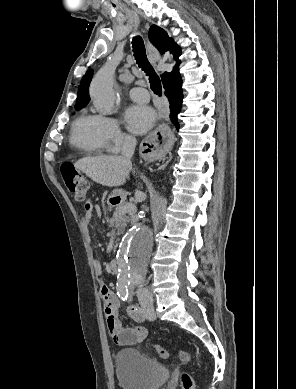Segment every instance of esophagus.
<instances>
[{
	"label": "esophagus",
	"mask_w": 296,
	"mask_h": 389,
	"mask_svg": "<svg viewBox=\"0 0 296 389\" xmlns=\"http://www.w3.org/2000/svg\"><path fill=\"white\" fill-rule=\"evenodd\" d=\"M148 58L152 64L156 65L159 55L155 47L147 41L146 44ZM176 142V133L171 131V125L168 122H159L148 135H143L141 140V149L145 159L149 163H154L160 157H165L168 151H171Z\"/></svg>",
	"instance_id": "1"
}]
</instances>
